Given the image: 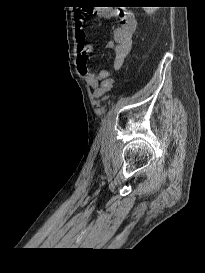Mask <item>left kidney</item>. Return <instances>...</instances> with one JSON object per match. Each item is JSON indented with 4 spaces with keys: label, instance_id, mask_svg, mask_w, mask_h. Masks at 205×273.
<instances>
[{
    "label": "left kidney",
    "instance_id": "1",
    "mask_svg": "<svg viewBox=\"0 0 205 273\" xmlns=\"http://www.w3.org/2000/svg\"><path fill=\"white\" fill-rule=\"evenodd\" d=\"M144 9L148 14H152L155 11V7H144Z\"/></svg>",
    "mask_w": 205,
    "mask_h": 273
}]
</instances>
